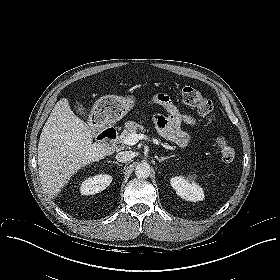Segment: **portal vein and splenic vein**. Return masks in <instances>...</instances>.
I'll use <instances>...</instances> for the list:
<instances>
[{"instance_id": "18ae733b", "label": "portal vein and splenic vein", "mask_w": 280, "mask_h": 280, "mask_svg": "<svg viewBox=\"0 0 280 280\" xmlns=\"http://www.w3.org/2000/svg\"><path fill=\"white\" fill-rule=\"evenodd\" d=\"M143 139L147 140L148 137L144 134L131 133L123 139L122 143L131 146L135 145L136 143H138L139 140Z\"/></svg>"}]
</instances>
